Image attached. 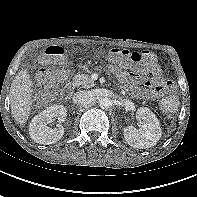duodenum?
<instances>
[{
	"mask_svg": "<svg viewBox=\"0 0 197 197\" xmlns=\"http://www.w3.org/2000/svg\"><path fill=\"white\" fill-rule=\"evenodd\" d=\"M71 91V88H68V92H70Z\"/></svg>",
	"mask_w": 197,
	"mask_h": 197,
	"instance_id": "1",
	"label": "duodenum"
}]
</instances>
